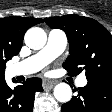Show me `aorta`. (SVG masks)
<instances>
[{
	"instance_id": "762f6f07",
	"label": "aorta",
	"mask_w": 112,
	"mask_h": 112,
	"mask_svg": "<svg viewBox=\"0 0 112 112\" xmlns=\"http://www.w3.org/2000/svg\"><path fill=\"white\" fill-rule=\"evenodd\" d=\"M24 41L28 47L38 50L46 44L47 35L42 28L32 27L25 33ZM53 94L59 102L67 103L72 98V89L67 83L62 82L55 85Z\"/></svg>"
}]
</instances>
